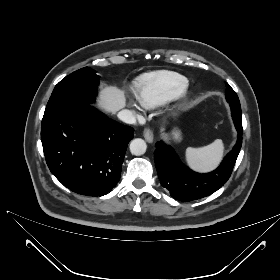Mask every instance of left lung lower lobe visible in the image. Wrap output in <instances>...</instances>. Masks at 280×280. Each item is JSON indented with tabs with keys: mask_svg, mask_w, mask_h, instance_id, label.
Masks as SVG:
<instances>
[{
	"mask_svg": "<svg viewBox=\"0 0 280 280\" xmlns=\"http://www.w3.org/2000/svg\"><path fill=\"white\" fill-rule=\"evenodd\" d=\"M238 132L237 143L220 166L206 174L193 172L184 166L173 149L162 141L155 144L154 161L161 185L179 201L197 200L217 191L229 179L242 146V115L231 107Z\"/></svg>",
	"mask_w": 280,
	"mask_h": 280,
	"instance_id": "0a47b994",
	"label": "left lung lower lobe"
}]
</instances>
